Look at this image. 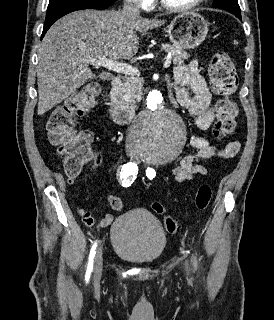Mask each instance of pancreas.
Instances as JSON below:
<instances>
[{
	"label": "pancreas",
	"mask_w": 274,
	"mask_h": 320,
	"mask_svg": "<svg viewBox=\"0 0 274 320\" xmlns=\"http://www.w3.org/2000/svg\"><path fill=\"white\" fill-rule=\"evenodd\" d=\"M161 50L164 52H170L172 56L173 64H183L184 60H188L190 58L189 54L183 50V48H176V46H167L164 44ZM143 78H134V76H125L122 80L121 86H117V88H113L111 94L116 98L118 104L120 106H124V108H130V110H135L137 108L136 102H140L141 96H143Z\"/></svg>",
	"instance_id": "obj_1"
}]
</instances>
